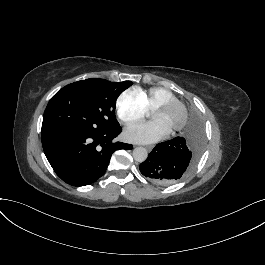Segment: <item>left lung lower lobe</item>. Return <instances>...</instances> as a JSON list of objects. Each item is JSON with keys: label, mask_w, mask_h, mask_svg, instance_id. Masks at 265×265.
Segmentation results:
<instances>
[{"label": "left lung lower lobe", "mask_w": 265, "mask_h": 265, "mask_svg": "<svg viewBox=\"0 0 265 265\" xmlns=\"http://www.w3.org/2000/svg\"><path fill=\"white\" fill-rule=\"evenodd\" d=\"M203 147L200 118L193 116L183 136L159 143L140 164V172L159 185L176 183L195 167Z\"/></svg>", "instance_id": "0a47b994"}]
</instances>
